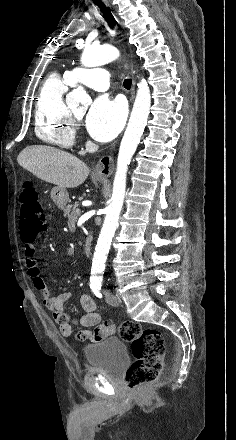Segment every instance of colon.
<instances>
[{
    "label": "colon",
    "mask_w": 236,
    "mask_h": 440,
    "mask_svg": "<svg viewBox=\"0 0 236 440\" xmlns=\"http://www.w3.org/2000/svg\"><path fill=\"white\" fill-rule=\"evenodd\" d=\"M20 232L22 239L32 242L46 229V218L39 194L31 185H26L20 193ZM107 334L117 332L122 340L131 344L134 362L126 372V384L137 390L146 383L155 381L162 372L164 340L161 333L153 328H142L138 323L127 321L105 330ZM97 341V339H91Z\"/></svg>",
    "instance_id": "obj_1"
}]
</instances>
